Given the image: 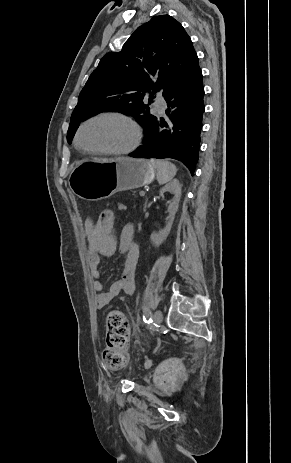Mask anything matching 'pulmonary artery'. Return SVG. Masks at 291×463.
<instances>
[{
  "label": "pulmonary artery",
  "instance_id": "1",
  "mask_svg": "<svg viewBox=\"0 0 291 463\" xmlns=\"http://www.w3.org/2000/svg\"><path fill=\"white\" fill-rule=\"evenodd\" d=\"M154 109L155 111L159 112V113H163L164 112V108H165V101L162 97L158 96L155 101H154Z\"/></svg>",
  "mask_w": 291,
  "mask_h": 463
}]
</instances>
